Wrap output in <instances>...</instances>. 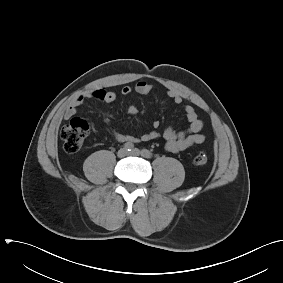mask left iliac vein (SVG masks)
Listing matches in <instances>:
<instances>
[{
	"label": "left iliac vein",
	"instance_id": "4c4485c4",
	"mask_svg": "<svg viewBox=\"0 0 283 283\" xmlns=\"http://www.w3.org/2000/svg\"><path fill=\"white\" fill-rule=\"evenodd\" d=\"M130 155H133V156H140L142 155L141 151L137 148L133 149L131 152H130Z\"/></svg>",
	"mask_w": 283,
	"mask_h": 283
}]
</instances>
